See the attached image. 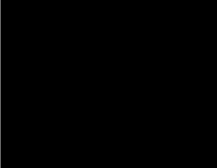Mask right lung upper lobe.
Returning a JSON list of instances; mask_svg holds the SVG:
<instances>
[{"instance_id": "1", "label": "right lung upper lobe", "mask_w": 217, "mask_h": 168, "mask_svg": "<svg viewBox=\"0 0 217 168\" xmlns=\"http://www.w3.org/2000/svg\"><path fill=\"white\" fill-rule=\"evenodd\" d=\"M95 27L91 20L67 18L33 42L23 67L22 97L29 113L74 93L71 75L76 76L79 56Z\"/></svg>"}]
</instances>
